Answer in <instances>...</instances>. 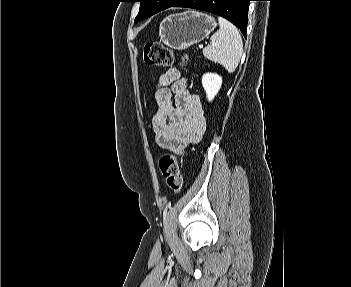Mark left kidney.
I'll return each instance as SVG.
<instances>
[{
  "label": "left kidney",
  "mask_w": 351,
  "mask_h": 287,
  "mask_svg": "<svg viewBox=\"0 0 351 287\" xmlns=\"http://www.w3.org/2000/svg\"><path fill=\"white\" fill-rule=\"evenodd\" d=\"M202 85L208 101H212L222 85V77L215 73H206L202 77Z\"/></svg>",
  "instance_id": "obj_1"
}]
</instances>
